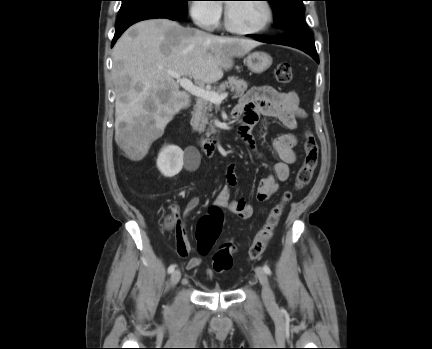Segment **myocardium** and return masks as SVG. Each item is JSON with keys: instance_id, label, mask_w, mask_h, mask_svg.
Here are the masks:
<instances>
[{"instance_id": "obj_1", "label": "myocardium", "mask_w": 432, "mask_h": 349, "mask_svg": "<svg viewBox=\"0 0 432 349\" xmlns=\"http://www.w3.org/2000/svg\"><path fill=\"white\" fill-rule=\"evenodd\" d=\"M259 2H262L267 10V18L266 21L264 22V24L262 26H260L259 28L256 29H240L238 27H235L231 21V17H230V11H229V7L228 4L225 5V11H224V24L225 27L228 31L234 33V34H238V35H259L264 33L272 24L273 19H274V11H273V7L272 4L269 0H260Z\"/></svg>"}]
</instances>
